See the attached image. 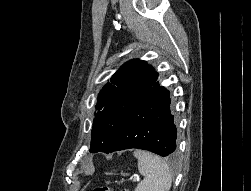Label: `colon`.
I'll list each match as a JSON object with an SVG mask.
<instances>
[{"label": "colon", "mask_w": 251, "mask_h": 191, "mask_svg": "<svg viewBox=\"0 0 251 191\" xmlns=\"http://www.w3.org/2000/svg\"><path fill=\"white\" fill-rule=\"evenodd\" d=\"M95 191H116V189L111 187H97Z\"/></svg>", "instance_id": "5ec220e1"}]
</instances>
